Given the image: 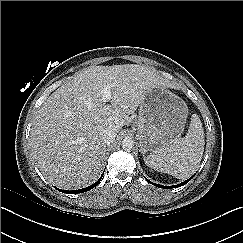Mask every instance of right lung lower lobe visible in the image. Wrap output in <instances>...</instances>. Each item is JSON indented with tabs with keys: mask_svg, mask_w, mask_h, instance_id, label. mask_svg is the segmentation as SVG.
Segmentation results:
<instances>
[{
	"mask_svg": "<svg viewBox=\"0 0 243 243\" xmlns=\"http://www.w3.org/2000/svg\"><path fill=\"white\" fill-rule=\"evenodd\" d=\"M101 178L97 182H95L94 184H92L91 186H88V187L83 188V189L74 190V191H67V190H61V189H59V191H61L63 193H67V194H78V193L87 192L90 189H93L94 187H96L100 183Z\"/></svg>",
	"mask_w": 243,
	"mask_h": 243,
	"instance_id": "1",
	"label": "right lung lower lobe"
}]
</instances>
